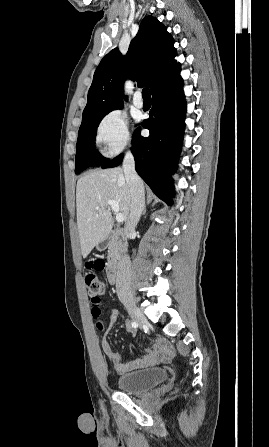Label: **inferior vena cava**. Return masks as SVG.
<instances>
[{
	"mask_svg": "<svg viewBox=\"0 0 269 447\" xmlns=\"http://www.w3.org/2000/svg\"><path fill=\"white\" fill-rule=\"evenodd\" d=\"M123 172L125 180L129 186L131 196L130 214L124 225L125 233H135V227L140 220L142 210L145 204L144 186L141 178L135 172V160L130 150L125 154L123 160ZM131 261L129 255L125 253L118 263L116 277V291L120 295H129L131 293Z\"/></svg>",
	"mask_w": 269,
	"mask_h": 447,
	"instance_id": "602c4592",
	"label": "inferior vena cava"
}]
</instances>
